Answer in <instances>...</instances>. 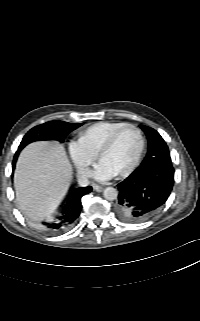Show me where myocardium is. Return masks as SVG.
I'll return each mask as SVG.
<instances>
[{"label": "myocardium", "mask_w": 200, "mask_h": 321, "mask_svg": "<svg viewBox=\"0 0 200 321\" xmlns=\"http://www.w3.org/2000/svg\"><path fill=\"white\" fill-rule=\"evenodd\" d=\"M130 129L136 131V133L139 136V148H138L137 154H136L133 162L131 163V165L126 170H124L122 173L115 175L117 178H125V177L129 176L138 166V164L142 158L144 149H145V137H144L143 131L139 127H137L136 125L127 124L126 126L120 128L119 130L114 132L106 140V142L101 146V148L99 149V151L97 153V158L99 161H101L103 154L106 153L107 151H109L116 144L119 137L125 131L130 130Z\"/></svg>", "instance_id": "f54148a6"}]
</instances>
